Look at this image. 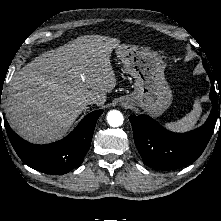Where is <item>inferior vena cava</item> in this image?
Instances as JSON below:
<instances>
[{
	"label": "inferior vena cava",
	"mask_w": 221,
	"mask_h": 221,
	"mask_svg": "<svg viewBox=\"0 0 221 221\" xmlns=\"http://www.w3.org/2000/svg\"><path fill=\"white\" fill-rule=\"evenodd\" d=\"M85 103L86 104H94V103H96V100H95V98H87L85 100Z\"/></svg>",
	"instance_id": "inferior-vena-cava-1"
}]
</instances>
